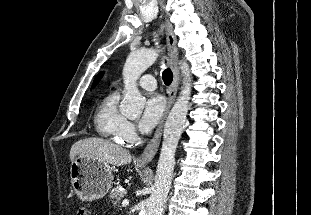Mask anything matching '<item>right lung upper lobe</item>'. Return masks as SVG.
Returning <instances> with one entry per match:
<instances>
[{"instance_id":"cb5924a9","label":"right lung upper lobe","mask_w":311,"mask_h":215,"mask_svg":"<svg viewBox=\"0 0 311 215\" xmlns=\"http://www.w3.org/2000/svg\"><path fill=\"white\" fill-rule=\"evenodd\" d=\"M102 75H103V73H99V74L96 76V78H95V80H94V83H93V87H95V86L97 85V83H98L99 80L101 79Z\"/></svg>"}]
</instances>
